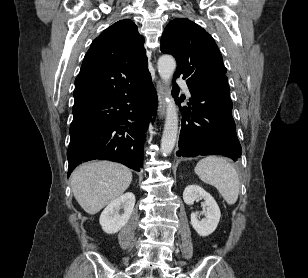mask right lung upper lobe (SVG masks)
Masks as SVG:
<instances>
[{
  "mask_svg": "<svg viewBox=\"0 0 308 278\" xmlns=\"http://www.w3.org/2000/svg\"><path fill=\"white\" fill-rule=\"evenodd\" d=\"M143 43L137 26L129 19L103 31L92 42L75 79L72 110L125 95L149 77Z\"/></svg>",
  "mask_w": 308,
  "mask_h": 278,
  "instance_id": "cb5924a9",
  "label": "right lung upper lobe"
}]
</instances>
